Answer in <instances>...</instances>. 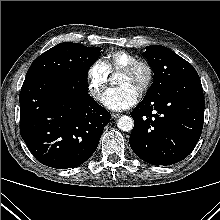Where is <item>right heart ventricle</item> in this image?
Listing matches in <instances>:
<instances>
[{
  "instance_id": "1",
  "label": "right heart ventricle",
  "mask_w": 220,
  "mask_h": 220,
  "mask_svg": "<svg viewBox=\"0 0 220 220\" xmlns=\"http://www.w3.org/2000/svg\"><path fill=\"white\" fill-rule=\"evenodd\" d=\"M135 60H137L136 55L124 50H118L107 54L105 62L110 71H116Z\"/></svg>"
}]
</instances>
